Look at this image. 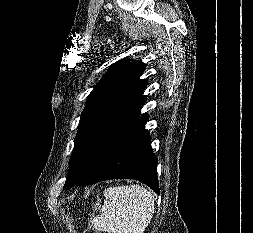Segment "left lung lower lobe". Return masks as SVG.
I'll list each match as a JSON object with an SVG mask.
<instances>
[{"label":"left lung lower lobe","instance_id":"left-lung-lower-lobe-1","mask_svg":"<svg viewBox=\"0 0 253 233\" xmlns=\"http://www.w3.org/2000/svg\"><path fill=\"white\" fill-rule=\"evenodd\" d=\"M145 101L146 97H143L120 122L100 150L89 172L76 185L130 178L145 183L159 194L157 158L152 152L150 135L144 128L148 115L140 114Z\"/></svg>","mask_w":253,"mask_h":233}]
</instances>
